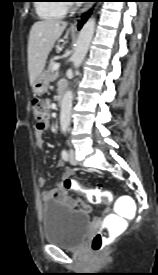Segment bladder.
Segmentation results:
<instances>
[{
  "instance_id": "1",
  "label": "bladder",
  "mask_w": 158,
  "mask_h": 275,
  "mask_svg": "<svg viewBox=\"0 0 158 275\" xmlns=\"http://www.w3.org/2000/svg\"><path fill=\"white\" fill-rule=\"evenodd\" d=\"M42 214L44 240L63 249H77L89 231L91 218L85 212L51 202Z\"/></svg>"
}]
</instances>
